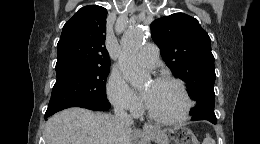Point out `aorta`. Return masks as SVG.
Returning a JSON list of instances; mask_svg holds the SVG:
<instances>
[{
  "label": "aorta",
  "mask_w": 260,
  "mask_h": 144,
  "mask_svg": "<svg viewBox=\"0 0 260 144\" xmlns=\"http://www.w3.org/2000/svg\"><path fill=\"white\" fill-rule=\"evenodd\" d=\"M145 41V32L139 26L129 28L121 38L122 54L119 57L120 69L132 85H142L149 74L139 68L136 55Z\"/></svg>",
  "instance_id": "762f6f07"
}]
</instances>
